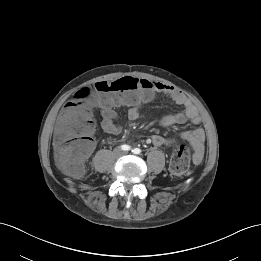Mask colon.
I'll return each instance as SVG.
<instances>
[{"label":"colon","mask_w":261,"mask_h":261,"mask_svg":"<svg viewBox=\"0 0 261 261\" xmlns=\"http://www.w3.org/2000/svg\"><path fill=\"white\" fill-rule=\"evenodd\" d=\"M156 83L130 76L108 82L100 81L92 87L79 89L75 95L76 102L94 103L95 94L102 96L103 101L110 99L123 103L135 102L152 96ZM86 117L75 111L67 113L66 134L60 138V150L56 156L57 165L68 175L80 177L83 174V159L89 149L91 139L85 131ZM191 151L186 144H179L170 159V171L175 176L185 175L190 168Z\"/></svg>","instance_id":"colon-1"}]
</instances>
